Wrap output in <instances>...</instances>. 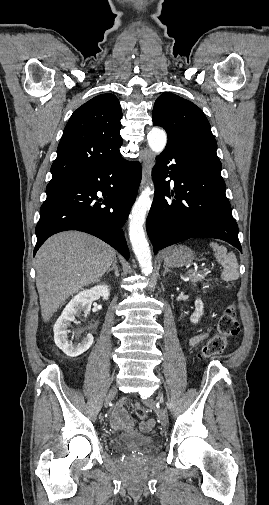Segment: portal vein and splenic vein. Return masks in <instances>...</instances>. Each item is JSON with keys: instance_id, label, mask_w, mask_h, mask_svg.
I'll return each mask as SVG.
<instances>
[{"instance_id": "18ae733b", "label": "portal vein and splenic vein", "mask_w": 269, "mask_h": 505, "mask_svg": "<svg viewBox=\"0 0 269 505\" xmlns=\"http://www.w3.org/2000/svg\"><path fill=\"white\" fill-rule=\"evenodd\" d=\"M194 270H197V268L190 269V270L188 271V273H191V272H193Z\"/></svg>"}]
</instances>
